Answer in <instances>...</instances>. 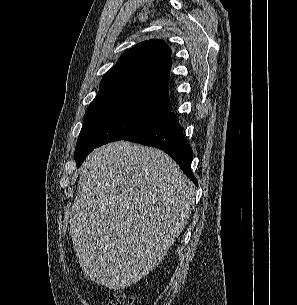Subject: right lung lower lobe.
<instances>
[{
    "instance_id": "98d812e1",
    "label": "right lung lower lobe",
    "mask_w": 297,
    "mask_h": 305,
    "mask_svg": "<svg viewBox=\"0 0 297 305\" xmlns=\"http://www.w3.org/2000/svg\"><path fill=\"white\" fill-rule=\"evenodd\" d=\"M125 140L156 147L169 154L182 171L196 184L191 171L192 148L183 135L177 116L169 112L149 127L125 138Z\"/></svg>"
}]
</instances>
